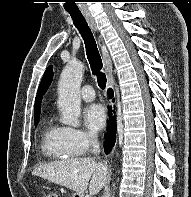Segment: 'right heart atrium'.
Segmentation results:
<instances>
[{"label":"right heart atrium","instance_id":"obj_1","mask_svg":"<svg viewBox=\"0 0 191 197\" xmlns=\"http://www.w3.org/2000/svg\"><path fill=\"white\" fill-rule=\"evenodd\" d=\"M63 141L71 155H81L96 142V136L81 129L63 127Z\"/></svg>","mask_w":191,"mask_h":197}]
</instances>
